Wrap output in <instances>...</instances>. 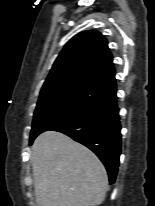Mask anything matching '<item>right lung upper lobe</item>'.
I'll return each instance as SVG.
<instances>
[{
  "label": "right lung upper lobe",
  "instance_id": "1",
  "mask_svg": "<svg viewBox=\"0 0 155 206\" xmlns=\"http://www.w3.org/2000/svg\"><path fill=\"white\" fill-rule=\"evenodd\" d=\"M85 86L105 94L116 89L112 54L105 37L83 31L64 46L45 80L42 91Z\"/></svg>",
  "mask_w": 155,
  "mask_h": 206
}]
</instances>
